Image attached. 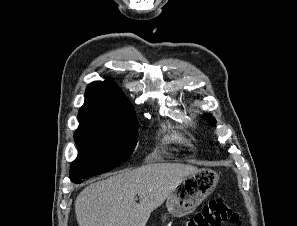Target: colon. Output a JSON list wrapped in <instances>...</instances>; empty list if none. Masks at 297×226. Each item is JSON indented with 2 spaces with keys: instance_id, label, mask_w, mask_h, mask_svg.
<instances>
[{
  "instance_id": "5ec220e1",
  "label": "colon",
  "mask_w": 297,
  "mask_h": 226,
  "mask_svg": "<svg viewBox=\"0 0 297 226\" xmlns=\"http://www.w3.org/2000/svg\"><path fill=\"white\" fill-rule=\"evenodd\" d=\"M224 222L239 225V215L223 200L213 199L205 204L185 226H221Z\"/></svg>"
}]
</instances>
